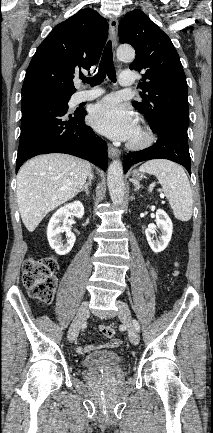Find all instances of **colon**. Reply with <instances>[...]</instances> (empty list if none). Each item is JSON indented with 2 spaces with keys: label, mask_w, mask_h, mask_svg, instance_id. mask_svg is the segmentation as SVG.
Wrapping results in <instances>:
<instances>
[{
  "label": "colon",
  "mask_w": 213,
  "mask_h": 433,
  "mask_svg": "<svg viewBox=\"0 0 213 433\" xmlns=\"http://www.w3.org/2000/svg\"><path fill=\"white\" fill-rule=\"evenodd\" d=\"M57 271L58 262L54 256L27 258L22 266V281L30 296L49 304L57 287ZM100 331L108 339L115 336L114 328L109 325H101Z\"/></svg>",
  "instance_id": "1"
}]
</instances>
